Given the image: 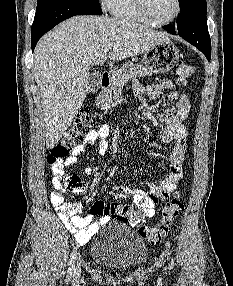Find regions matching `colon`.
<instances>
[{
	"mask_svg": "<svg viewBox=\"0 0 233 286\" xmlns=\"http://www.w3.org/2000/svg\"><path fill=\"white\" fill-rule=\"evenodd\" d=\"M195 73V67L189 63L180 61L176 67L178 83L181 86L187 84L188 79ZM94 123V119L87 108H81L74 117L71 125L64 133L61 140L49 151L47 162L52 170L58 175L64 189L75 193H83L85 184L81 179L72 173H65L58 168L65 157L72 153L76 142L81 140L84 134L89 131ZM184 208L183 202L176 194L171 200L165 203L162 209L159 223L156 226L148 227L141 221L142 213L137 206L129 208V218L131 224L138 228L139 235L151 244H159L167 236L173 221L179 216Z\"/></svg>",
	"mask_w": 233,
	"mask_h": 286,
	"instance_id": "1",
	"label": "colon"
}]
</instances>
